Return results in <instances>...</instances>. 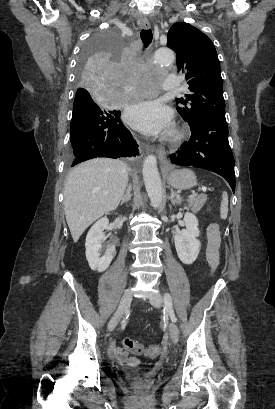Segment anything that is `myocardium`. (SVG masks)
I'll return each mask as SVG.
<instances>
[{"mask_svg": "<svg viewBox=\"0 0 275 409\" xmlns=\"http://www.w3.org/2000/svg\"><path fill=\"white\" fill-rule=\"evenodd\" d=\"M178 135H179V133L177 131H173V132L170 133L171 138H177Z\"/></svg>", "mask_w": 275, "mask_h": 409, "instance_id": "1", "label": "myocardium"}]
</instances>
